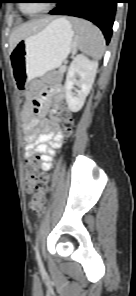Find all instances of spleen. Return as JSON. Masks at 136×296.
Instances as JSON below:
<instances>
[{
	"mask_svg": "<svg viewBox=\"0 0 136 296\" xmlns=\"http://www.w3.org/2000/svg\"><path fill=\"white\" fill-rule=\"evenodd\" d=\"M74 31L77 35L78 49L95 59H100L105 50L102 32L89 21L72 18Z\"/></svg>",
	"mask_w": 136,
	"mask_h": 296,
	"instance_id": "spleen-1",
	"label": "spleen"
}]
</instances>
